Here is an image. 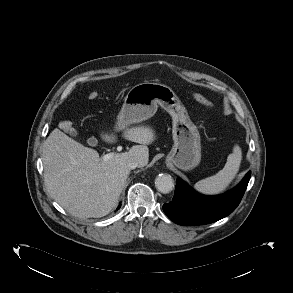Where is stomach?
Returning <instances> with one entry per match:
<instances>
[{"mask_svg":"<svg viewBox=\"0 0 293 293\" xmlns=\"http://www.w3.org/2000/svg\"><path fill=\"white\" fill-rule=\"evenodd\" d=\"M158 106L172 117L174 145L166 161L185 171L195 168L201 160L200 134L185 106L170 87L152 82L132 87L125 97L116 128L122 130L151 118Z\"/></svg>","mask_w":293,"mask_h":293,"instance_id":"1","label":"stomach"}]
</instances>
